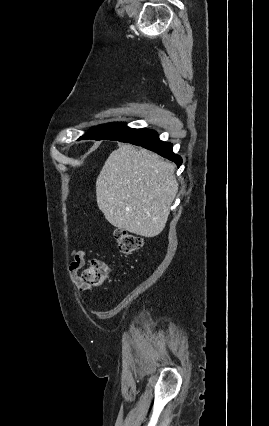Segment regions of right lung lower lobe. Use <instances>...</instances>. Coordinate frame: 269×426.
<instances>
[{
  "label": "right lung lower lobe",
  "instance_id": "98d812e1",
  "mask_svg": "<svg viewBox=\"0 0 269 426\" xmlns=\"http://www.w3.org/2000/svg\"><path fill=\"white\" fill-rule=\"evenodd\" d=\"M120 142L131 143L137 146H142L157 154L175 162L179 167L182 164V159L172 151V144L163 142L159 139L158 134L153 130L138 129L131 133L126 138L116 140Z\"/></svg>",
  "mask_w": 269,
  "mask_h": 426
}]
</instances>
